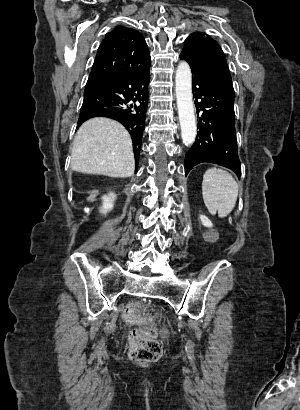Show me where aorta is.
<instances>
[{
  "mask_svg": "<svg viewBox=\"0 0 300 410\" xmlns=\"http://www.w3.org/2000/svg\"><path fill=\"white\" fill-rule=\"evenodd\" d=\"M177 108L181 126V138L186 146L196 138V121L192 95V74L189 64L181 61L175 76Z\"/></svg>",
  "mask_w": 300,
  "mask_h": 410,
  "instance_id": "obj_1",
  "label": "aorta"
}]
</instances>
